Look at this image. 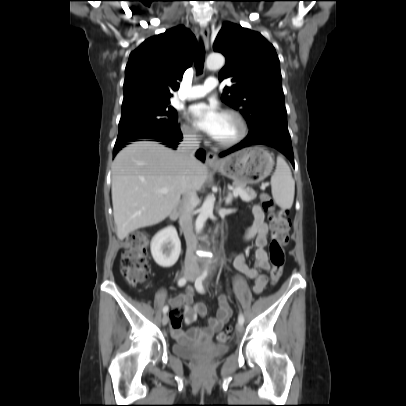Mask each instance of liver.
<instances>
[{
    "label": "liver",
    "mask_w": 406,
    "mask_h": 406,
    "mask_svg": "<svg viewBox=\"0 0 406 406\" xmlns=\"http://www.w3.org/2000/svg\"><path fill=\"white\" fill-rule=\"evenodd\" d=\"M208 168L197 161L191 167L158 142L137 141L122 149L112 164V204L117 237L162 222L176 208L181 195L200 191ZM169 188L167 194L157 190Z\"/></svg>",
    "instance_id": "6515ba94"
}]
</instances>
